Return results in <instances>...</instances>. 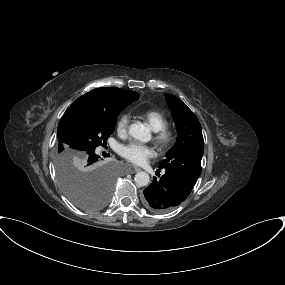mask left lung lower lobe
<instances>
[{"label":"left lung lower lobe","instance_id":"obj_1","mask_svg":"<svg viewBox=\"0 0 285 285\" xmlns=\"http://www.w3.org/2000/svg\"><path fill=\"white\" fill-rule=\"evenodd\" d=\"M195 184L183 174L166 169L160 180L154 178L144 189V205L155 212L169 211L189 196Z\"/></svg>","mask_w":285,"mask_h":285}]
</instances>
